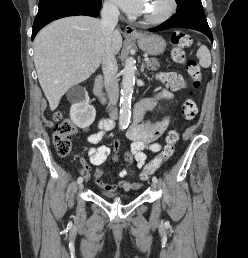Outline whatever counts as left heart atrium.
<instances>
[{"instance_id":"39dd6f15","label":"left heart atrium","mask_w":248,"mask_h":258,"mask_svg":"<svg viewBox=\"0 0 248 258\" xmlns=\"http://www.w3.org/2000/svg\"><path fill=\"white\" fill-rule=\"evenodd\" d=\"M128 14L138 16L144 13L148 0H115Z\"/></svg>"}]
</instances>
